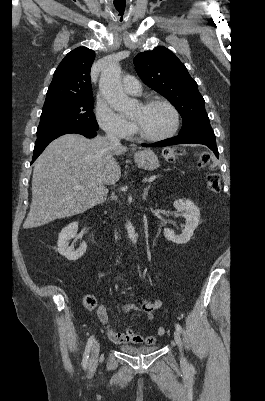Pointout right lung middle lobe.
Masks as SVG:
<instances>
[{
    "label": "right lung middle lobe",
    "mask_w": 265,
    "mask_h": 401,
    "mask_svg": "<svg viewBox=\"0 0 265 401\" xmlns=\"http://www.w3.org/2000/svg\"><path fill=\"white\" fill-rule=\"evenodd\" d=\"M93 96L57 101L43 106L37 135L53 128H81L97 131Z\"/></svg>",
    "instance_id": "right-lung-middle-lobe-1"
}]
</instances>
